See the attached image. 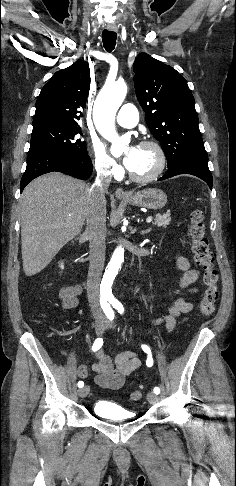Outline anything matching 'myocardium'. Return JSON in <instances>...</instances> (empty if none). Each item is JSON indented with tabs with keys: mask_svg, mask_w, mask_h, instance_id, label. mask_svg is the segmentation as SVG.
Here are the masks:
<instances>
[{
	"mask_svg": "<svg viewBox=\"0 0 236 486\" xmlns=\"http://www.w3.org/2000/svg\"><path fill=\"white\" fill-rule=\"evenodd\" d=\"M140 147H151L156 151L157 157H158L157 166L148 175L140 176V175L134 174L130 170L128 172V175H129L131 180H133L137 183H148V182L156 180L163 173V171L166 167L167 158H166V154H165L163 147L160 145V143H158L155 140H144L140 143Z\"/></svg>",
	"mask_w": 236,
	"mask_h": 486,
	"instance_id": "obj_1",
	"label": "myocardium"
}]
</instances>
